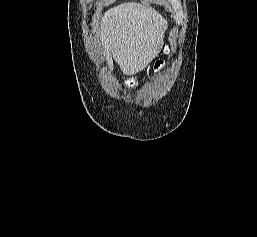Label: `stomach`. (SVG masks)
Instances as JSON below:
<instances>
[{"instance_id":"obj_1","label":"stomach","mask_w":257,"mask_h":237,"mask_svg":"<svg viewBox=\"0 0 257 237\" xmlns=\"http://www.w3.org/2000/svg\"><path fill=\"white\" fill-rule=\"evenodd\" d=\"M138 84L137 79L134 77H130L123 82V86L125 88L131 89L134 88Z\"/></svg>"}]
</instances>
